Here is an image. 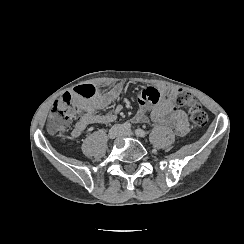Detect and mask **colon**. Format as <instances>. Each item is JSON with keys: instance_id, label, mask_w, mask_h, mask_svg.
Returning a JSON list of instances; mask_svg holds the SVG:
<instances>
[{"instance_id": "colon-1", "label": "colon", "mask_w": 244, "mask_h": 244, "mask_svg": "<svg viewBox=\"0 0 244 244\" xmlns=\"http://www.w3.org/2000/svg\"><path fill=\"white\" fill-rule=\"evenodd\" d=\"M96 86L77 85L73 90L74 98L90 97L97 94ZM174 102L189 110L190 121L197 127L202 128L208 123L207 113L197 100L188 92L179 90L174 96ZM78 109L72 103L68 93L62 94L54 101L51 114L48 119V129L52 132H64L68 130L77 115Z\"/></svg>"}]
</instances>
